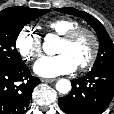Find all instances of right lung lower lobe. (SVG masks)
Wrapping results in <instances>:
<instances>
[{"label": "right lung lower lobe", "mask_w": 114, "mask_h": 114, "mask_svg": "<svg viewBox=\"0 0 114 114\" xmlns=\"http://www.w3.org/2000/svg\"><path fill=\"white\" fill-rule=\"evenodd\" d=\"M40 82L23 64L0 69V114H23L29 109L32 91Z\"/></svg>", "instance_id": "obj_1"}]
</instances>
